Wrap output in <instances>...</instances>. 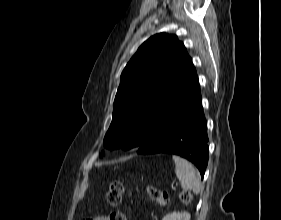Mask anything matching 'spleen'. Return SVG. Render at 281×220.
Returning a JSON list of instances; mask_svg holds the SVG:
<instances>
[{
    "mask_svg": "<svg viewBox=\"0 0 281 220\" xmlns=\"http://www.w3.org/2000/svg\"><path fill=\"white\" fill-rule=\"evenodd\" d=\"M176 175L184 190H192L195 194L200 193L202 189L200 174L194 166L187 160L173 155Z\"/></svg>",
    "mask_w": 281,
    "mask_h": 220,
    "instance_id": "obj_1",
    "label": "spleen"
}]
</instances>
